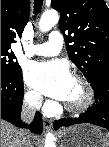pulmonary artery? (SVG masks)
Masks as SVG:
<instances>
[{"label":"pulmonary artery","instance_id":"1","mask_svg":"<svg viewBox=\"0 0 109 147\" xmlns=\"http://www.w3.org/2000/svg\"><path fill=\"white\" fill-rule=\"evenodd\" d=\"M63 46V35L60 32L49 34L46 42L29 47V52L36 56H56Z\"/></svg>","mask_w":109,"mask_h":147}]
</instances>
